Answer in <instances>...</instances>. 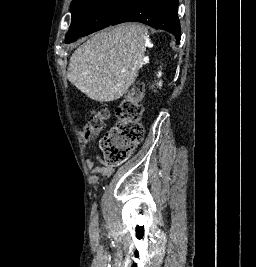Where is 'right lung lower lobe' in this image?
<instances>
[{"label": "right lung lower lobe", "mask_w": 256, "mask_h": 267, "mask_svg": "<svg viewBox=\"0 0 256 267\" xmlns=\"http://www.w3.org/2000/svg\"><path fill=\"white\" fill-rule=\"evenodd\" d=\"M179 0H138L127 12L111 25L123 22H141L153 28L171 32L180 42V23L178 19Z\"/></svg>", "instance_id": "98d812e1"}]
</instances>
